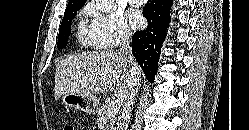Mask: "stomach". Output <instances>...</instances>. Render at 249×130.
<instances>
[{
    "mask_svg": "<svg viewBox=\"0 0 249 130\" xmlns=\"http://www.w3.org/2000/svg\"><path fill=\"white\" fill-rule=\"evenodd\" d=\"M61 100L66 107L86 113H94L98 108V99L94 95L67 93Z\"/></svg>",
    "mask_w": 249,
    "mask_h": 130,
    "instance_id": "1",
    "label": "stomach"
}]
</instances>
